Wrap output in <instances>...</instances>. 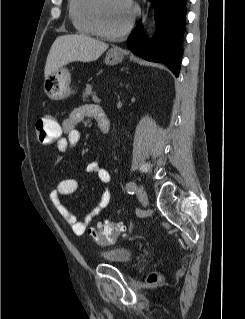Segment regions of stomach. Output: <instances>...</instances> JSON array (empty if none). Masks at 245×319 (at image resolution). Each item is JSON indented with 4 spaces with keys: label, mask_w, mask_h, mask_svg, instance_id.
<instances>
[{
    "label": "stomach",
    "mask_w": 245,
    "mask_h": 319,
    "mask_svg": "<svg viewBox=\"0 0 245 319\" xmlns=\"http://www.w3.org/2000/svg\"><path fill=\"white\" fill-rule=\"evenodd\" d=\"M124 58L122 51L109 50L105 57V62L114 65L121 62ZM44 91L52 100H63L69 97L73 91L71 88V75L67 68H59L51 73L44 80Z\"/></svg>",
    "instance_id": "0dacf381"
}]
</instances>
